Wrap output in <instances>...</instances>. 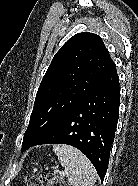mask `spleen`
<instances>
[{
    "label": "spleen",
    "instance_id": "spleen-1",
    "mask_svg": "<svg viewBox=\"0 0 138 186\" xmlns=\"http://www.w3.org/2000/svg\"><path fill=\"white\" fill-rule=\"evenodd\" d=\"M54 153L68 171V181L72 186H93L97 173L89 159L78 149L69 145H54Z\"/></svg>",
    "mask_w": 138,
    "mask_h": 186
}]
</instances>
